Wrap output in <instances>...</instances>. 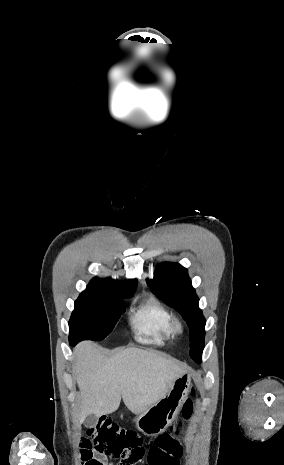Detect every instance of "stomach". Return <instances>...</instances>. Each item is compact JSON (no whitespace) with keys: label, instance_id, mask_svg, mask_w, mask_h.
I'll use <instances>...</instances> for the list:
<instances>
[{"label":"stomach","instance_id":"obj_1","mask_svg":"<svg viewBox=\"0 0 284 465\" xmlns=\"http://www.w3.org/2000/svg\"><path fill=\"white\" fill-rule=\"evenodd\" d=\"M190 385L191 377L188 373H183L178 379H175L163 399L154 403L144 413H138L137 417H134L138 431L147 437H157L163 433L173 423L185 399H187Z\"/></svg>","mask_w":284,"mask_h":465}]
</instances>
